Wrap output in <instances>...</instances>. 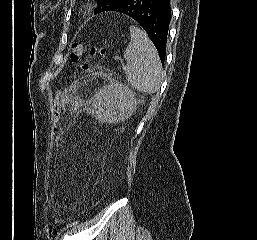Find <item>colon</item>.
Instances as JSON below:
<instances>
[{
  "mask_svg": "<svg viewBox=\"0 0 257 240\" xmlns=\"http://www.w3.org/2000/svg\"><path fill=\"white\" fill-rule=\"evenodd\" d=\"M86 51V44L84 42H76L72 45L71 49V59L75 62H78ZM106 47L104 45L100 46H91L88 52V58L82 63V68L84 70L90 67L91 60L97 55H105ZM62 115V103H61V95L58 93L53 102V126L52 131L53 134L56 135L60 128V121Z\"/></svg>",
  "mask_w": 257,
  "mask_h": 240,
  "instance_id": "1",
  "label": "colon"
}]
</instances>
